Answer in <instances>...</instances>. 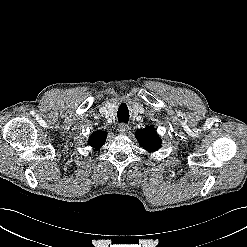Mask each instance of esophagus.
Instances as JSON below:
<instances>
[{"instance_id": "34e87169", "label": "esophagus", "mask_w": 247, "mask_h": 247, "mask_svg": "<svg viewBox=\"0 0 247 247\" xmlns=\"http://www.w3.org/2000/svg\"><path fill=\"white\" fill-rule=\"evenodd\" d=\"M128 130L129 126L127 124L122 123L118 126V131L122 135H125L128 132Z\"/></svg>"}]
</instances>
